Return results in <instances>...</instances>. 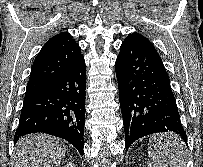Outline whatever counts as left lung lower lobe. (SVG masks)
<instances>
[{"label": "left lung lower lobe", "mask_w": 203, "mask_h": 167, "mask_svg": "<svg viewBox=\"0 0 203 167\" xmlns=\"http://www.w3.org/2000/svg\"><path fill=\"white\" fill-rule=\"evenodd\" d=\"M125 148L139 138L174 132L187 144L176 99L157 52L125 39L116 60Z\"/></svg>", "instance_id": "left-lung-lower-lobe-1"}]
</instances>
